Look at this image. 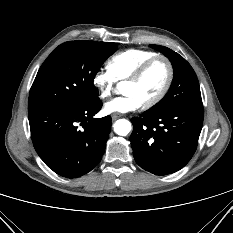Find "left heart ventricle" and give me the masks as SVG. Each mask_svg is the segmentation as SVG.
<instances>
[{
	"label": "left heart ventricle",
	"mask_w": 233,
	"mask_h": 233,
	"mask_svg": "<svg viewBox=\"0 0 233 233\" xmlns=\"http://www.w3.org/2000/svg\"><path fill=\"white\" fill-rule=\"evenodd\" d=\"M168 76V68L163 60L155 61L137 83H125L123 92L133 93L142 103L155 98L162 90Z\"/></svg>",
	"instance_id": "b2bd125f"
}]
</instances>
